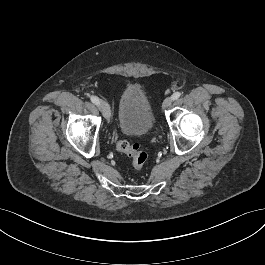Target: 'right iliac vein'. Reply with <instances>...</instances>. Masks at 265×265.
<instances>
[{"instance_id": "right-iliac-vein-1", "label": "right iliac vein", "mask_w": 265, "mask_h": 265, "mask_svg": "<svg viewBox=\"0 0 265 265\" xmlns=\"http://www.w3.org/2000/svg\"><path fill=\"white\" fill-rule=\"evenodd\" d=\"M99 109L103 113L106 120L109 121L111 118V111H110L109 105L105 101H100L99 102Z\"/></svg>"}]
</instances>
